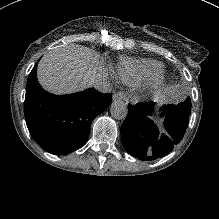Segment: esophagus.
<instances>
[{
    "label": "esophagus",
    "instance_id": "obj_1",
    "mask_svg": "<svg viewBox=\"0 0 219 219\" xmlns=\"http://www.w3.org/2000/svg\"><path fill=\"white\" fill-rule=\"evenodd\" d=\"M125 99V95L123 92H117L113 95V100L114 101H118V100H124Z\"/></svg>",
    "mask_w": 219,
    "mask_h": 219
}]
</instances>
